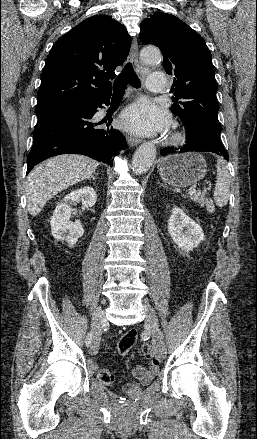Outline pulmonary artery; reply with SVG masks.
Wrapping results in <instances>:
<instances>
[{"mask_svg": "<svg viewBox=\"0 0 257 439\" xmlns=\"http://www.w3.org/2000/svg\"><path fill=\"white\" fill-rule=\"evenodd\" d=\"M167 77L164 73L155 72L147 78V89L152 93H163L166 89Z\"/></svg>", "mask_w": 257, "mask_h": 439, "instance_id": "e3ab8cb5", "label": "pulmonary artery"}]
</instances>
